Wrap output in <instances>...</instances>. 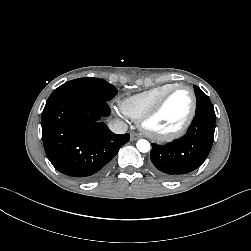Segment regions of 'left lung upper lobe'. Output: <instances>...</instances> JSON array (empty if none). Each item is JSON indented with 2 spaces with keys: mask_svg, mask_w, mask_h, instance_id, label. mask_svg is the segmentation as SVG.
<instances>
[{
  "mask_svg": "<svg viewBox=\"0 0 251 251\" xmlns=\"http://www.w3.org/2000/svg\"><path fill=\"white\" fill-rule=\"evenodd\" d=\"M194 88L197 97V107L195 114L207 113L215 115V111L209 97L198 86H194Z\"/></svg>",
  "mask_w": 251,
  "mask_h": 251,
  "instance_id": "1",
  "label": "left lung upper lobe"
}]
</instances>
